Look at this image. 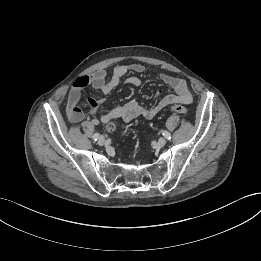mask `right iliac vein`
I'll use <instances>...</instances> for the list:
<instances>
[{
	"mask_svg": "<svg viewBox=\"0 0 261 261\" xmlns=\"http://www.w3.org/2000/svg\"><path fill=\"white\" fill-rule=\"evenodd\" d=\"M98 144L100 146L104 145L105 144V138L103 136H100L99 139H98Z\"/></svg>",
	"mask_w": 261,
	"mask_h": 261,
	"instance_id": "63e3f726",
	"label": "right iliac vein"
}]
</instances>
